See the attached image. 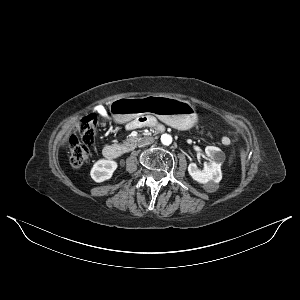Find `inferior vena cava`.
<instances>
[{
  "instance_id": "obj_1",
  "label": "inferior vena cava",
  "mask_w": 300,
  "mask_h": 300,
  "mask_svg": "<svg viewBox=\"0 0 300 300\" xmlns=\"http://www.w3.org/2000/svg\"><path fill=\"white\" fill-rule=\"evenodd\" d=\"M154 142V139L152 137H145L139 140L138 146L143 147L149 144H152Z\"/></svg>"
}]
</instances>
